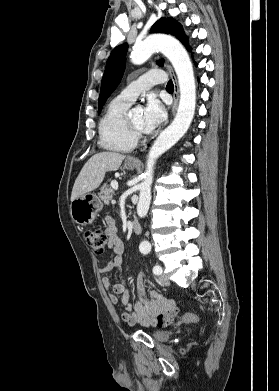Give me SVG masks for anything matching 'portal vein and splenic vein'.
I'll use <instances>...</instances> for the list:
<instances>
[{
    "mask_svg": "<svg viewBox=\"0 0 279 391\" xmlns=\"http://www.w3.org/2000/svg\"><path fill=\"white\" fill-rule=\"evenodd\" d=\"M111 185H112V187H113L115 190L118 189V183H117L116 181H113V182L111 183ZM112 203H115V200H112Z\"/></svg>",
    "mask_w": 279,
    "mask_h": 391,
    "instance_id": "1",
    "label": "portal vein and splenic vein"
}]
</instances>
